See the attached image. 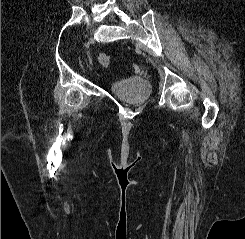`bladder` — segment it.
Returning a JSON list of instances; mask_svg holds the SVG:
<instances>
[{
	"label": "bladder",
	"instance_id": "bladder-1",
	"mask_svg": "<svg viewBox=\"0 0 245 239\" xmlns=\"http://www.w3.org/2000/svg\"><path fill=\"white\" fill-rule=\"evenodd\" d=\"M109 89L115 96L130 103L142 104L150 99L152 85L135 79L118 80L109 84Z\"/></svg>",
	"mask_w": 245,
	"mask_h": 239
}]
</instances>
